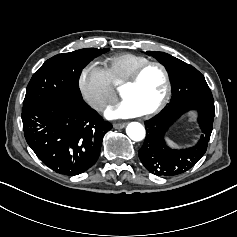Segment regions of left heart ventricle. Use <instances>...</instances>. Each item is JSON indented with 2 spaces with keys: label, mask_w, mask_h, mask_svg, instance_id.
<instances>
[{
  "label": "left heart ventricle",
  "mask_w": 237,
  "mask_h": 237,
  "mask_svg": "<svg viewBox=\"0 0 237 237\" xmlns=\"http://www.w3.org/2000/svg\"><path fill=\"white\" fill-rule=\"evenodd\" d=\"M165 93V78L159 67L148 68L139 81L127 88L122 97L129 101L141 114L154 109Z\"/></svg>",
  "instance_id": "1"
}]
</instances>
